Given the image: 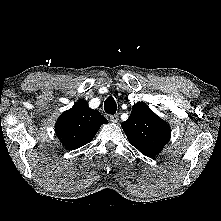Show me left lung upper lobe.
Listing matches in <instances>:
<instances>
[{
	"label": "left lung upper lobe",
	"instance_id": "1",
	"mask_svg": "<svg viewBox=\"0 0 221 221\" xmlns=\"http://www.w3.org/2000/svg\"><path fill=\"white\" fill-rule=\"evenodd\" d=\"M121 126L130 144L148 157L159 154L170 140L169 125L144 102L134 104L129 118Z\"/></svg>",
	"mask_w": 221,
	"mask_h": 221
}]
</instances>
